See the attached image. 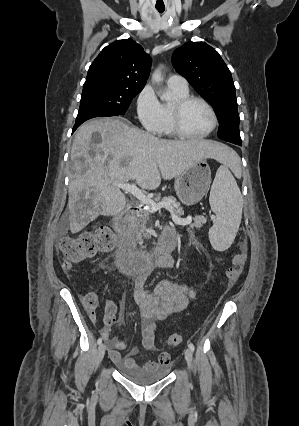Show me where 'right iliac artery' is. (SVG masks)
Listing matches in <instances>:
<instances>
[{
  "instance_id": "82829eb1",
  "label": "right iliac artery",
  "mask_w": 299,
  "mask_h": 426,
  "mask_svg": "<svg viewBox=\"0 0 299 426\" xmlns=\"http://www.w3.org/2000/svg\"><path fill=\"white\" fill-rule=\"evenodd\" d=\"M102 343V338L100 337V338H98V340H97V344L98 345H100Z\"/></svg>"
}]
</instances>
